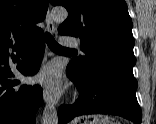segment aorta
Returning a JSON list of instances; mask_svg holds the SVG:
<instances>
[{
    "mask_svg": "<svg viewBox=\"0 0 156 124\" xmlns=\"http://www.w3.org/2000/svg\"><path fill=\"white\" fill-rule=\"evenodd\" d=\"M51 17L55 22H63L68 17L65 8H54L51 11ZM42 124H58V115L53 104H47L43 110Z\"/></svg>",
    "mask_w": 156,
    "mask_h": 124,
    "instance_id": "obj_1",
    "label": "aorta"
}]
</instances>
